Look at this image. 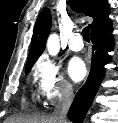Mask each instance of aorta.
<instances>
[{
	"label": "aorta",
	"mask_w": 118,
	"mask_h": 123,
	"mask_svg": "<svg viewBox=\"0 0 118 123\" xmlns=\"http://www.w3.org/2000/svg\"><path fill=\"white\" fill-rule=\"evenodd\" d=\"M46 47L51 56H56L60 50L59 36L57 34H51L48 37Z\"/></svg>",
	"instance_id": "762f6f07"
}]
</instances>
